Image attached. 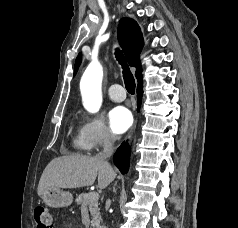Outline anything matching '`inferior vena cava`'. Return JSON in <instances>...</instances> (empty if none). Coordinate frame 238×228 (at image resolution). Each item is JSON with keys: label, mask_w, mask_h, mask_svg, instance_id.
Returning <instances> with one entry per match:
<instances>
[{"label": "inferior vena cava", "mask_w": 238, "mask_h": 228, "mask_svg": "<svg viewBox=\"0 0 238 228\" xmlns=\"http://www.w3.org/2000/svg\"><path fill=\"white\" fill-rule=\"evenodd\" d=\"M113 143H114V136L108 133L104 141L103 151L100 152L97 155V157L102 160H106L108 157H110L113 153Z\"/></svg>", "instance_id": "inferior-vena-cava-1"}]
</instances>
